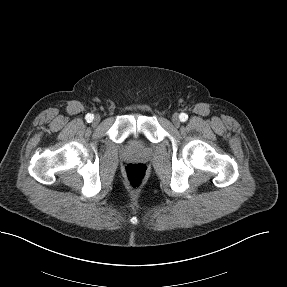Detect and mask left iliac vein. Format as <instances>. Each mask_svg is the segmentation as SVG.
Listing matches in <instances>:
<instances>
[{"instance_id":"left-iliac-vein-1","label":"left iliac vein","mask_w":287,"mask_h":287,"mask_svg":"<svg viewBox=\"0 0 287 287\" xmlns=\"http://www.w3.org/2000/svg\"><path fill=\"white\" fill-rule=\"evenodd\" d=\"M172 122L176 127H178L180 125V118H179V115L177 113L173 114Z\"/></svg>"}]
</instances>
